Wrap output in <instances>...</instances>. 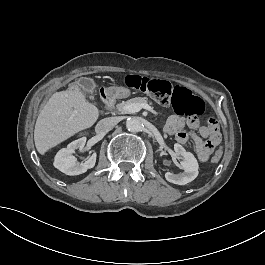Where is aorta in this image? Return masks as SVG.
<instances>
[{
	"mask_svg": "<svg viewBox=\"0 0 265 265\" xmlns=\"http://www.w3.org/2000/svg\"><path fill=\"white\" fill-rule=\"evenodd\" d=\"M126 128L130 132H139L142 129L141 121L138 117H132L126 122Z\"/></svg>",
	"mask_w": 265,
	"mask_h": 265,
	"instance_id": "762f6f07",
	"label": "aorta"
}]
</instances>
